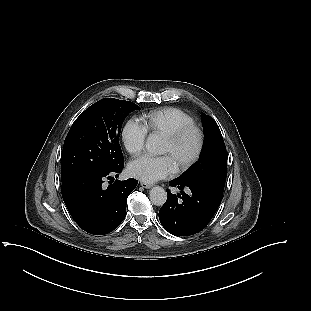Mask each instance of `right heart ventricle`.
I'll return each instance as SVG.
<instances>
[{"mask_svg": "<svg viewBox=\"0 0 311 311\" xmlns=\"http://www.w3.org/2000/svg\"><path fill=\"white\" fill-rule=\"evenodd\" d=\"M146 131L151 135L165 136L177 128L194 123L193 117L183 109L165 107L145 114L142 118Z\"/></svg>", "mask_w": 311, "mask_h": 311, "instance_id": "e07e8e85", "label": "right heart ventricle"}]
</instances>
